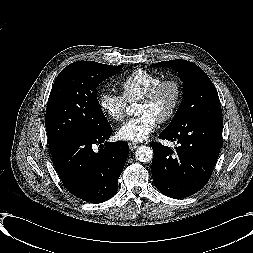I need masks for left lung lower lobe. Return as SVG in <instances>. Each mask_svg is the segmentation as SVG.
Wrapping results in <instances>:
<instances>
[{"mask_svg":"<svg viewBox=\"0 0 253 253\" xmlns=\"http://www.w3.org/2000/svg\"><path fill=\"white\" fill-rule=\"evenodd\" d=\"M223 118L190 121L160 139L177 141L175 150L153 143L152 178L163 194L181 199L201 190L215 167L222 143Z\"/></svg>","mask_w":253,"mask_h":253,"instance_id":"left-lung-lower-lobe-1","label":"left lung lower lobe"}]
</instances>
